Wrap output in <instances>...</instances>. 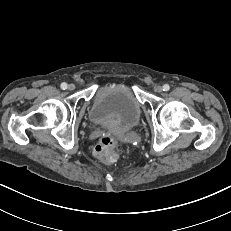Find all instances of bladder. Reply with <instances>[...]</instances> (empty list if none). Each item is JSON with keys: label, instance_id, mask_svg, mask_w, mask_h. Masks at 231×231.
<instances>
[{"label": "bladder", "instance_id": "1", "mask_svg": "<svg viewBox=\"0 0 231 231\" xmlns=\"http://www.w3.org/2000/svg\"><path fill=\"white\" fill-rule=\"evenodd\" d=\"M88 117L97 126L124 132L139 122L141 105L126 84L108 83L93 97Z\"/></svg>", "mask_w": 231, "mask_h": 231}]
</instances>
